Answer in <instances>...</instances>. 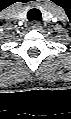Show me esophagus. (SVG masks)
<instances>
[{"instance_id":"esophagus-1","label":"esophagus","mask_w":71,"mask_h":119,"mask_svg":"<svg viewBox=\"0 0 71 119\" xmlns=\"http://www.w3.org/2000/svg\"><path fill=\"white\" fill-rule=\"evenodd\" d=\"M31 27L35 30H40L42 28L41 23L38 21H34Z\"/></svg>"}]
</instances>
